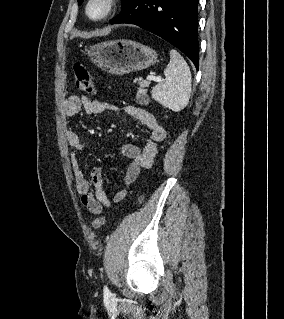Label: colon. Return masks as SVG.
<instances>
[{
	"label": "colon",
	"instance_id": "colon-1",
	"mask_svg": "<svg viewBox=\"0 0 284 319\" xmlns=\"http://www.w3.org/2000/svg\"><path fill=\"white\" fill-rule=\"evenodd\" d=\"M74 73H75V83L79 90L87 93V94H95L96 92V84L87 68L84 64L80 62H76L73 65ZM107 218L105 216L99 217L92 222V227L94 229H98L102 227Z\"/></svg>",
	"mask_w": 284,
	"mask_h": 319
}]
</instances>
